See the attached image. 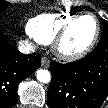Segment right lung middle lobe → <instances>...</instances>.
I'll return each instance as SVG.
<instances>
[{"mask_svg": "<svg viewBox=\"0 0 108 108\" xmlns=\"http://www.w3.org/2000/svg\"><path fill=\"white\" fill-rule=\"evenodd\" d=\"M9 5H10V3L6 2V1H0V11H3Z\"/></svg>", "mask_w": 108, "mask_h": 108, "instance_id": "1", "label": "right lung middle lobe"}]
</instances>
